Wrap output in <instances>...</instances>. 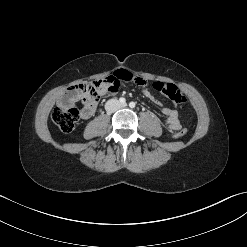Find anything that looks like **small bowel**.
Here are the masks:
<instances>
[{"instance_id": "c3829d8e", "label": "small bowel", "mask_w": 247, "mask_h": 247, "mask_svg": "<svg viewBox=\"0 0 247 247\" xmlns=\"http://www.w3.org/2000/svg\"><path fill=\"white\" fill-rule=\"evenodd\" d=\"M112 76L115 78H118L119 80H125V81H134V79L136 78L131 72H129L127 70H123V69L117 70ZM138 85L142 89V92L145 95V97H147L150 100H154L153 95L146 88L147 82L144 79H142V82L139 83ZM117 90H118V88L103 89L100 92V95L113 94ZM76 98H82V100H83V96L81 94H77ZM95 110H96V104L88 105V104L83 102V108L81 111L82 118H84V119L90 118L94 114ZM162 113L166 117V123H167L168 129L170 131H176V130L180 129L181 124H180L178 112L176 110L168 108V107H164L162 109Z\"/></svg>"}]
</instances>
